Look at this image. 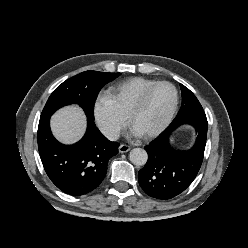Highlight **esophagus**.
<instances>
[{
	"label": "esophagus",
	"mask_w": 248,
	"mask_h": 248,
	"mask_svg": "<svg viewBox=\"0 0 248 248\" xmlns=\"http://www.w3.org/2000/svg\"><path fill=\"white\" fill-rule=\"evenodd\" d=\"M130 150V146L126 145V144H121L119 146V152L120 153H126Z\"/></svg>",
	"instance_id": "esophagus-1"
}]
</instances>
